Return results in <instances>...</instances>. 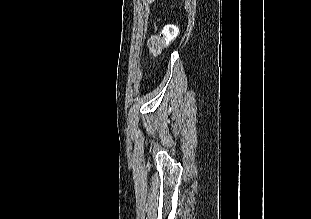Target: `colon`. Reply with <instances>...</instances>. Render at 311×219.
Listing matches in <instances>:
<instances>
[{
    "instance_id": "colon-1",
    "label": "colon",
    "mask_w": 311,
    "mask_h": 219,
    "mask_svg": "<svg viewBox=\"0 0 311 219\" xmlns=\"http://www.w3.org/2000/svg\"><path fill=\"white\" fill-rule=\"evenodd\" d=\"M178 34L176 25L169 24L163 28L160 34L153 35L149 42L148 48L152 54H159Z\"/></svg>"
}]
</instances>
